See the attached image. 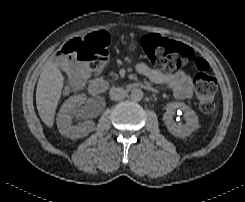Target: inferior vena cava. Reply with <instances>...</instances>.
I'll return each mask as SVG.
<instances>
[{"mask_svg":"<svg viewBox=\"0 0 245 202\" xmlns=\"http://www.w3.org/2000/svg\"><path fill=\"white\" fill-rule=\"evenodd\" d=\"M109 95L112 100L118 101L126 96V91L123 88L113 87L110 89Z\"/></svg>","mask_w":245,"mask_h":202,"instance_id":"obj_1","label":"inferior vena cava"}]
</instances>
